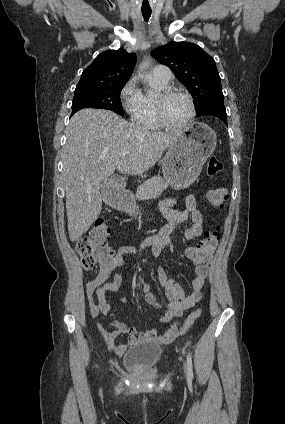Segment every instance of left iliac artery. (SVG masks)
Masks as SVG:
<instances>
[{
  "instance_id": "1",
  "label": "left iliac artery",
  "mask_w": 285,
  "mask_h": 424,
  "mask_svg": "<svg viewBox=\"0 0 285 424\" xmlns=\"http://www.w3.org/2000/svg\"><path fill=\"white\" fill-rule=\"evenodd\" d=\"M187 369H188V380L192 381L193 379V364L190 354H187Z\"/></svg>"
}]
</instances>
